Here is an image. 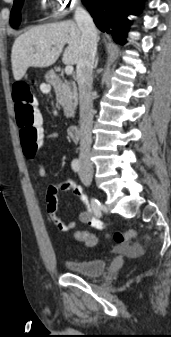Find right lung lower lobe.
<instances>
[{"label": "right lung lower lobe", "mask_w": 171, "mask_h": 337, "mask_svg": "<svg viewBox=\"0 0 171 337\" xmlns=\"http://www.w3.org/2000/svg\"><path fill=\"white\" fill-rule=\"evenodd\" d=\"M90 11L95 24L103 31L112 35L120 44L125 43L130 21L129 14L137 15L144 0H82Z\"/></svg>", "instance_id": "1"}]
</instances>
